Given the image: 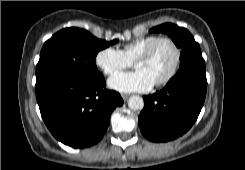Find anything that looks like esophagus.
I'll use <instances>...</instances> for the list:
<instances>
[{"label":"esophagus","mask_w":245,"mask_h":170,"mask_svg":"<svg viewBox=\"0 0 245 170\" xmlns=\"http://www.w3.org/2000/svg\"><path fill=\"white\" fill-rule=\"evenodd\" d=\"M121 96H122L124 101H126L128 99V97H129V95H127V94H122Z\"/></svg>","instance_id":"34e87169"}]
</instances>
